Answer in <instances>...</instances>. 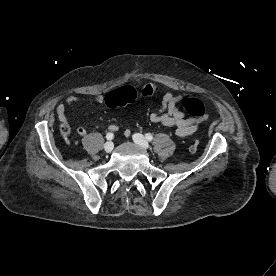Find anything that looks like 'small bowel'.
I'll return each mask as SVG.
<instances>
[{
    "mask_svg": "<svg viewBox=\"0 0 276 276\" xmlns=\"http://www.w3.org/2000/svg\"><path fill=\"white\" fill-rule=\"evenodd\" d=\"M155 90L158 92V87L150 83ZM155 93V94H156ZM184 96L182 93H178L174 90L168 91L163 94L161 99V105L158 111L152 113L150 115V120L153 123H157L166 127H174L175 135L177 137H187L194 134L199 125L205 120L206 117L201 118H192L187 117L186 114L180 107V100ZM104 98L100 94H94L87 97L82 96H69L65 99V101L58 104L56 108V113L58 119L62 122H66V108L75 103H95L100 104L103 103ZM109 129L112 131H117L119 128L116 125H110ZM77 133L81 136L86 135L87 130L84 126H79L77 128ZM123 134L125 137L130 136L129 130H124Z\"/></svg>",
    "mask_w": 276,
    "mask_h": 276,
    "instance_id": "obj_1",
    "label": "small bowel"
}]
</instances>
